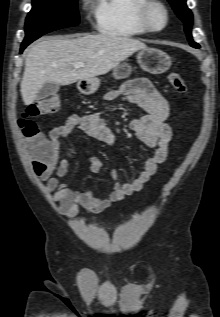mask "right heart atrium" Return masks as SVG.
<instances>
[{
	"instance_id": "d8ad5b80",
	"label": "right heart atrium",
	"mask_w": 220,
	"mask_h": 317,
	"mask_svg": "<svg viewBox=\"0 0 220 317\" xmlns=\"http://www.w3.org/2000/svg\"><path fill=\"white\" fill-rule=\"evenodd\" d=\"M81 5H82V8H83V9H87V7H88V0H82Z\"/></svg>"
}]
</instances>
